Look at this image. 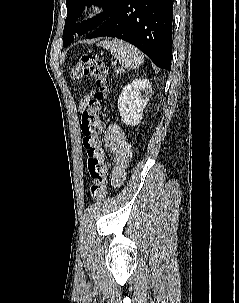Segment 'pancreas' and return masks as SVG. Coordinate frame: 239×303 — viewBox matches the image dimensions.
Masks as SVG:
<instances>
[{
    "instance_id": "pancreas-1",
    "label": "pancreas",
    "mask_w": 239,
    "mask_h": 303,
    "mask_svg": "<svg viewBox=\"0 0 239 303\" xmlns=\"http://www.w3.org/2000/svg\"><path fill=\"white\" fill-rule=\"evenodd\" d=\"M117 72H118V73H123L124 71H123L122 68H119V69L117 70Z\"/></svg>"
}]
</instances>
